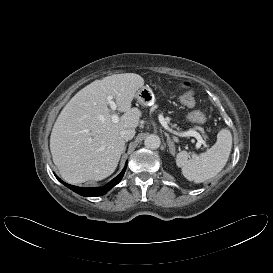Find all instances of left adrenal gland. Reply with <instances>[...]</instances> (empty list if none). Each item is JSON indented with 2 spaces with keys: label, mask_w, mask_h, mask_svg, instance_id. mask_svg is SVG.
I'll list each match as a JSON object with an SVG mask.
<instances>
[{
  "label": "left adrenal gland",
  "mask_w": 273,
  "mask_h": 273,
  "mask_svg": "<svg viewBox=\"0 0 273 273\" xmlns=\"http://www.w3.org/2000/svg\"><path fill=\"white\" fill-rule=\"evenodd\" d=\"M165 136L167 137V145L169 147V152L174 155L175 147L173 141L170 139L169 134L165 133Z\"/></svg>",
  "instance_id": "a2214340"
}]
</instances>
